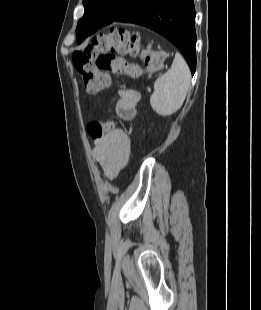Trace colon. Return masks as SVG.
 Returning a JSON list of instances; mask_svg holds the SVG:
<instances>
[{
	"label": "colon",
	"mask_w": 261,
	"mask_h": 310,
	"mask_svg": "<svg viewBox=\"0 0 261 310\" xmlns=\"http://www.w3.org/2000/svg\"><path fill=\"white\" fill-rule=\"evenodd\" d=\"M144 58V66L130 63L125 55ZM73 63L82 76L86 91L97 93L111 84V75L122 78L126 75L139 77L145 73L158 71L164 61L162 53L153 50H140L135 34L124 29H112L109 33L95 37L82 50L73 53ZM109 126L101 121H92L88 125V133L94 138L103 136Z\"/></svg>",
	"instance_id": "colon-1"
}]
</instances>
